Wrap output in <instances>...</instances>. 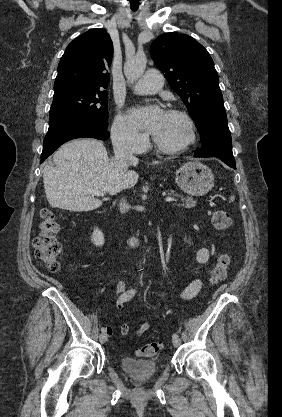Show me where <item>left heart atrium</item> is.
I'll use <instances>...</instances> for the list:
<instances>
[{"label": "left heart atrium", "mask_w": 282, "mask_h": 417, "mask_svg": "<svg viewBox=\"0 0 282 417\" xmlns=\"http://www.w3.org/2000/svg\"><path fill=\"white\" fill-rule=\"evenodd\" d=\"M163 113L158 109H135L131 113V121L140 125L151 133H156L161 125Z\"/></svg>", "instance_id": "obj_1"}]
</instances>
